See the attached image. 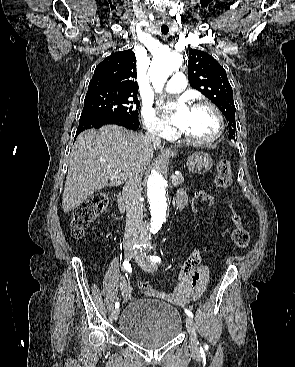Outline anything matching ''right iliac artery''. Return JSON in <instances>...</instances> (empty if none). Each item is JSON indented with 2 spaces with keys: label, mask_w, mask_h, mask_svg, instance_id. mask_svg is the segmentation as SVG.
<instances>
[{
  "label": "right iliac artery",
  "mask_w": 295,
  "mask_h": 367,
  "mask_svg": "<svg viewBox=\"0 0 295 367\" xmlns=\"http://www.w3.org/2000/svg\"><path fill=\"white\" fill-rule=\"evenodd\" d=\"M123 267L124 269L128 272V273H131L132 272V268H131V265L128 261H124L123 262ZM115 308H119V302H116L115 303Z\"/></svg>",
  "instance_id": "82829eb1"
}]
</instances>
